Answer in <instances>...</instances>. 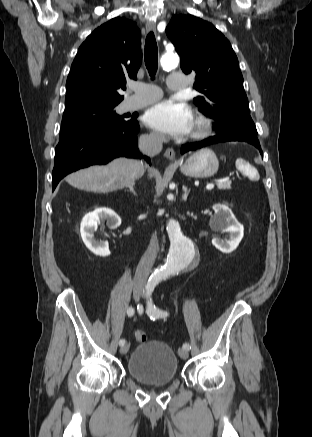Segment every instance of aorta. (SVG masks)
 Instances as JSON below:
<instances>
[{
    "label": "aorta",
    "instance_id": "762f6f07",
    "mask_svg": "<svg viewBox=\"0 0 312 437\" xmlns=\"http://www.w3.org/2000/svg\"><path fill=\"white\" fill-rule=\"evenodd\" d=\"M160 63L163 69H172L177 67L179 57L177 54L167 53L162 56ZM166 230L170 239V249L166 263L161 267V272L170 275L183 269L197 253L193 243L182 234L176 220L170 219Z\"/></svg>",
    "mask_w": 312,
    "mask_h": 437
}]
</instances>
